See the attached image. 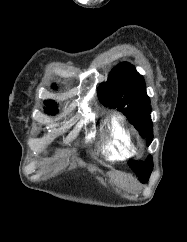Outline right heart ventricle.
<instances>
[{
  "instance_id": "obj_1",
  "label": "right heart ventricle",
  "mask_w": 187,
  "mask_h": 242,
  "mask_svg": "<svg viewBox=\"0 0 187 242\" xmlns=\"http://www.w3.org/2000/svg\"><path fill=\"white\" fill-rule=\"evenodd\" d=\"M102 152L110 160H124L135 153L130 132L115 114L105 120Z\"/></svg>"
}]
</instances>
